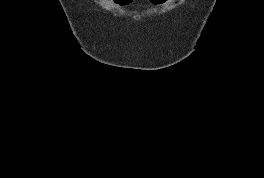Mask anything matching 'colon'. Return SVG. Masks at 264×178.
Masks as SVG:
<instances>
[{
  "mask_svg": "<svg viewBox=\"0 0 264 178\" xmlns=\"http://www.w3.org/2000/svg\"><path fill=\"white\" fill-rule=\"evenodd\" d=\"M114 3L118 6L124 7L127 6L131 0H113ZM151 4L155 6H161L167 2V0H150Z\"/></svg>",
  "mask_w": 264,
  "mask_h": 178,
  "instance_id": "1",
  "label": "colon"
}]
</instances>
